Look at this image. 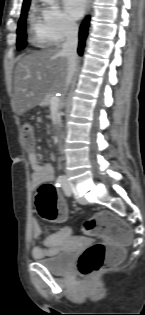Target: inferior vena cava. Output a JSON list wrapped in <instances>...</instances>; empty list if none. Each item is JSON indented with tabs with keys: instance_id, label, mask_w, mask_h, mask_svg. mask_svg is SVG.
Listing matches in <instances>:
<instances>
[{
	"instance_id": "602c4592",
	"label": "inferior vena cava",
	"mask_w": 145,
	"mask_h": 315,
	"mask_svg": "<svg viewBox=\"0 0 145 315\" xmlns=\"http://www.w3.org/2000/svg\"><path fill=\"white\" fill-rule=\"evenodd\" d=\"M78 26L76 23H68L66 27V40L62 45L61 54L67 58L66 90L72 80L77 67Z\"/></svg>"
}]
</instances>
